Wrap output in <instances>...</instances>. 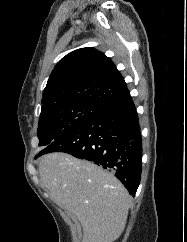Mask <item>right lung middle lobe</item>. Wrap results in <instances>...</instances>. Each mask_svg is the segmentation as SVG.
<instances>
[{"label": "right lung middle lobe", "instance_id": "1", "mask_svg": "<svg viewBox=\"0 0 187 242\" xmlns=\"http://www.w3.org/2000/svg\"><path fill=\"white\" fill-rule=\"evenodd\" d=\"M102 108L88 103H71L42 112L37 129L39 146L46 148L58 138L97 115Z\"/></svg>", "mask_w": 187, "mask_h": 242}]
</instances>
